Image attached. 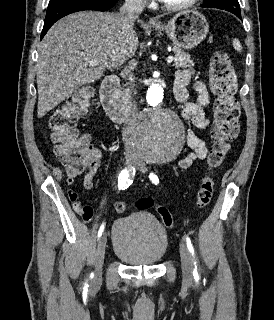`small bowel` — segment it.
<instances>
[{"mask_svg":"<svg viewBox=\"0 0 274 320\" xmlns=\"http://www.w3.org/2000/svg\"><path fill=\"white\" fill-rule=\"evenodd\" d=\"M189 84H193L196 92L197 98L195 101L189 100L187 91ZM173 91L176 99L183 104L184 120L197 129H206L209 125V115L206 112L209 94L205 84L197 79L192 71L182 69L176 72ZM186 144L191 149V152L179 161V169L182 172L190 170L196 161L206 159L209 153L204 140L192 129L187 131ZM85 161L89 162V167L86 168L83 177V187L89 190L93 187L94 179L102 166V151L95 147H89ZM70 200L74 211L85 222H90L94 214L93 208L90 205L83 204L78 196Z\"/></svg>","mask_w":274,"mask_h":320,"instance_id":"obj_1","label":"small bowel"}]
</instances>
